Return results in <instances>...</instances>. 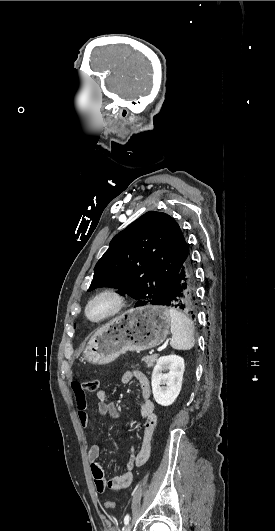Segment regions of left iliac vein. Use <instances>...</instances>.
<instances>
[{
    "instance_id": "obj_1",
    "label": "left iliac vein",
    "mask_w": 275,
    "mask_h": 531,
    "mask_svg": "<svg viewBox=\"0 0 275 531\" xmlns=\"http://www.w3.org/2000/svg\"><path fill=\"white\" fill-rule=\"evenodd\" d=\"M123 531H131V525H130V524L127 525V526L124 528Z\"/></svg>"
}]
</instances>
